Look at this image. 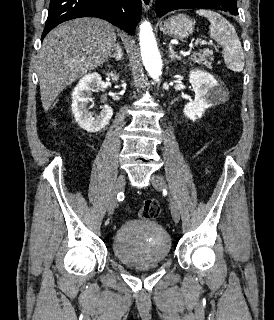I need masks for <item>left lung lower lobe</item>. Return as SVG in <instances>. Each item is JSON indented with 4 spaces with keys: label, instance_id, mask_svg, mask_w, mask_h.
Instances as JSON below:
<instances>
[{
    "label": "left lung lower lobe",
    "instance_id": "1",
    "mask_svg": "<svg viewBox=\"0 0 274 320\" xmlns=\"http://www.w3.org/2000/svg\"><path fill=\"white\" fill-rule=\"evenodd\" d=\"M192 8L217 9L238 15L236 0H157L155 4L159 17L173 10Z\"/></svg>",
    "mask_w": 274,
    "mask_h": 320
}]
</instances>
